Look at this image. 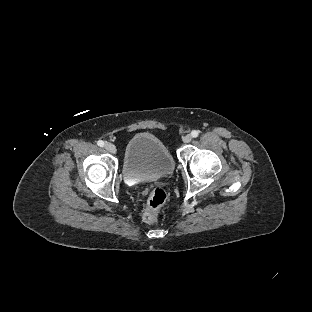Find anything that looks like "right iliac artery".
Here are the masks:
<instances>
[{
    "label": "right iliac artery",
    "mask_w": 312,
    "mask_h": 312,
    "mask_svg": "<svg viewBox=\"0 0 312 312\" xmlns=\"http://www.w3.org/2000/svg\"><path fill=\"white\" fill-rule=\"evenodd\" d=\"M97 145L100 146V147H103L104 146V142L102 140H99L97 142Z\"/></svg>",
    "instance_id": "right-iliac-artery-1"
}]
</instances>
